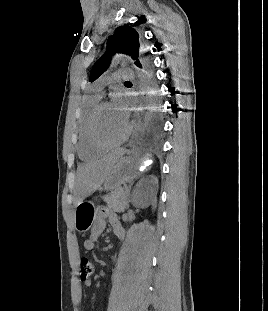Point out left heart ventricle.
I'll list each match as a JSON object with an SVG mask.
<instances>
[{"mask_svg":"<svg viewBox=\"0 0 268 311\" xmlns=\"http://www.w3.org/2000/svg\"><path fill=\"white\" fill-rule=\"evenodd\" d=\"M127 123L124 122L111 104L106 105L98 119V134L106 142L118 140L125 132Z\"/></svg>","mask_w":268,"mask_h":311,"instance_id":"b2bd125f","label":"left heart ventricle"}]
</instances>
